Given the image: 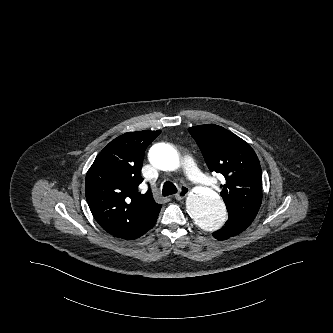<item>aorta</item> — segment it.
I'll return each mask as SVG.
<instances>
[{
  "mask_svg": "<svg viewBox=\"0 0 333 333\" xmlns=\"http://www.w3.org/2000/svg\"><path fill=\"white\" fill-rule=\"evenodd\" d=\"M149 160L157 169L171 171L179 167V156L169 144H155L149 151ZM190 217L202 230L215 232L223 227L227 212L223 200L209 188H200L186 199Z\"/></svg>",
  "mask_w": 333,
  "mask_h": 333,
  "instance_id": "aorta-1",
  "label": "aorta"
}]
</instances>
